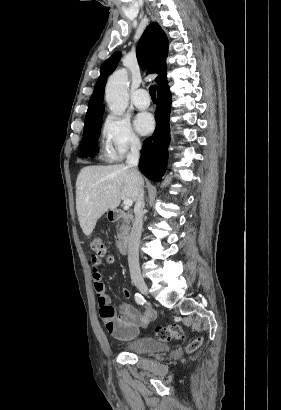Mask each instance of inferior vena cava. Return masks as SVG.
<instances>
[{"label": "inferior vena cava", "instance_id": "inferior-vena-cava-1", "mask_svg": "<svg viewBox=\"0 0 281 410\" xmlns=\"http://www.w3.org/2000/svg\"><path fill=\"white\" fill-rule=\"evenodd\" d=\"M141 143L139 141L134 142L131 145L130 153L127 155L126 164L127 167L134 170L139 174L137 170L139 157H140ZM144 191L140 186L139 194L136 200L134 208L135 220L129 237L128 243V263L130 269V275L132 280L142 279L141 271L139 267V244L143 226L144 216Z\"/></svg>", "mask_w": 281, "mask_h": 410}]
</instances>
